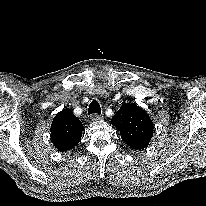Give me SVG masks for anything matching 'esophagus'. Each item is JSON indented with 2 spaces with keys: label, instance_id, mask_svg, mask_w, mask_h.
Returning a JSON list of instances; mask_svg holds the SVG:
<instances>
[{
  "label": "esophagus",
  "instance_id": "34e87169",
  "mask_svg": "<svg viewBox=\"0 0 206 206\" xmlns=\"http://www.w3.org/2000/svg\"><path fill=\"white\" fill-rule=\"evenodd\" d=\"M102 118H103V116L100 115V114H92V115L90 116V120H91V121H98V120H101Z\"/></svg>",
  "mask_w": 206,
  "mask_h": 206
}]
</instances>
